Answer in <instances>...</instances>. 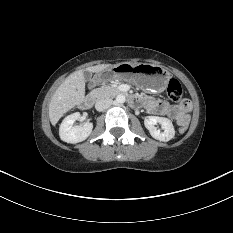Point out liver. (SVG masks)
I'll return each instance as SVG.
<instances>
[{
	"instance_id": "1",
	"label": "liver",
	"mask_w": 233,
	"mask_h": 233,
	"mask_svg": "<svg viewBox=\"0 0 233 233\" xmlns=\"http://www.w3.org/2000/svg\"><path fill=\"white\" fill-rule=\"evenodd\" d=\"M111 66V64H100L70 74L57 88L51 98L49 104V119L51 124L56 125L66 112L83 102L85 98L84 71L97 73Z\"/></svg>"
}]
</instances>
